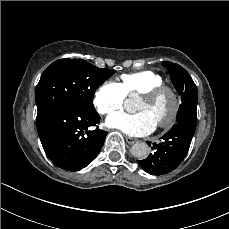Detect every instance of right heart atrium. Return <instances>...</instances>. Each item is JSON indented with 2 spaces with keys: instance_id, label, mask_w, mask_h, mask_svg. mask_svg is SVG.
I'll return each mask as SVG.
<instances>
[{
  "instance_id": "d8ad5b80",
  "label": "right heart atrium",
  "mask_w": 229,
  "mask_h": 229,
  "mask_svg": "<svg viewBox=\"0 0 229 229\" xmlns=\"http://www.w3.org/2000/svg\"><path fill=\"white\" fill-rule=\"evenodd\" d=\"M125 97L119 84L105 81L95 90L92 103L97 112L108 115L122 109Z\"/></svg>"
}]
</instances>
